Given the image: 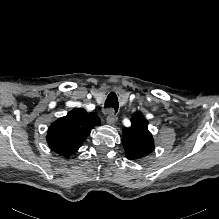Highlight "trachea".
Masks as SVG:
<instances>
[{"label":"trachea","instance_id":"3493384b","mask_svg":"<svg viewBox=\"0 0 219 219\" xmlns=\"http://www.w3.org/2000/svg\"><path fill=\"white\" fill-rule=\"evenodd\" d=\"M119 104H118V99L117 95L114 92H111L107 99L105 100V108L106 109H112L116 113L118 110Z\"/></svg>","mask_w":219,"mask_h":219}]
</instances>
